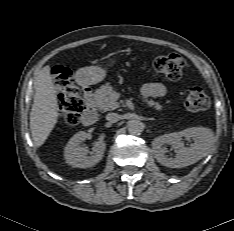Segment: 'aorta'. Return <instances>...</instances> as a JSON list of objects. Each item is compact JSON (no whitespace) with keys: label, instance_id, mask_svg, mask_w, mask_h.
I'll return each mask as SVG.
<instances>
[{"label":"aorta","instance_id":"762f6f07","mask_svg":"<svg viewBox=\"0 0 234 231\" xmlns=\"http://www.w3.org/2000/svg\"><path fill=\"white\" fill-rule=\"evenodd\" d=\"M128 132L132 135H139L143 129V123L139 120H131L127 124Z\"/></svg>","mask_w":234,"mask_h":231}]
</instances>
